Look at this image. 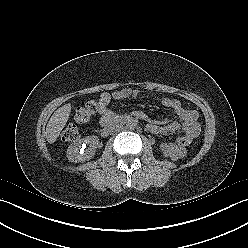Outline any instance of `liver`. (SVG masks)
<instances>
[{"mask_svg":"<svg viewBox=\"0 0 248 248\" xmlns=\"http://www.w3.org/2000/svg\"><path fill=\"white\" fill-rule=\"evenodd\" d=\"M71 112V104H65L58 108L51 116L46 127V139L48 143H54L65 127Z\"/></svg>","mask_w":248,"mask_h":248,"instance_id":"1","label":"liver"}]
</instances>
